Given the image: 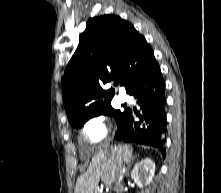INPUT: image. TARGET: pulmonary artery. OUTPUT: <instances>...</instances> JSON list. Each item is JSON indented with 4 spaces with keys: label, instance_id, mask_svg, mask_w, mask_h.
<instances>
[{
    "label": "pulmonary artery",
    "instance_id": "e3ab8cb5",
    "mask_svg": "<svg viewBox=\"0 0 221 193\" xmlns=\"http://www.w3.org/2000/svg\"><path fill=\"white\" fill-rule=\"evenodd\" d=\"M118 98H119V100L122 101V102L129 100V96H128L125 92H122V91H120V92L118 93Z\"/></svg>",
    "mask_w": 221,
    "mask_h": 193
}]
</instances>
